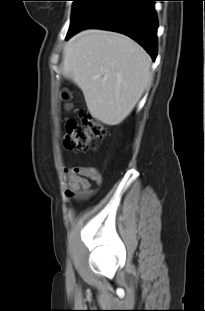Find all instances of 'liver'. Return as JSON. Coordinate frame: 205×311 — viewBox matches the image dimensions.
<instances>
[{
    "instance_id": "1",
    "label": "liver",
    "mask_w": 205,
    "mask_h": 311,
    "mask_svg": "<svg viewBox=\"0 0 205 311\" xmlns=\"http://www.w3.org/2000/svg\"><path fill=\"white\" fill-rule=\"evenodd\" d=\"M151 63L129 37L90 29L66 43L62 73L82 90L91 116L114 126L131 113L150 85Z\"/></svg>"
}]
</instances>
